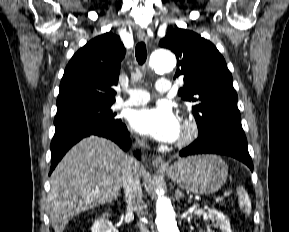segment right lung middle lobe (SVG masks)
<instances>
[{
	"instance_id": "obj_1",
	"label": "right lung middle lobe",
	"mask_w": 289,
	"mask_h": 232,
	"mask_svg": "<svg viewBox=\"0 0 289 232\" xmlns=\"http://www.w3.org/2000/svg\"><path fill=\"white\" fill-rule=\"evenodd\" d=\"M112 104L84 103L58 108L54 119L57 128L72 125H112L121 122L111 110Z\"/></svg>"
}]
</instances>
